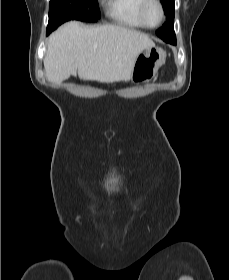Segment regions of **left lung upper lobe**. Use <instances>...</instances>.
<instances>
[{"label":"left lung upper lobe","instance_id":"left-lung-upper-lobe-1","mask_svg":"<svg viewBox=\"0 0 229 280\" xmlns=\"http://www.w3.org/2000/svg\"><path fill=\"white\" fill-rule=\"evenodd\" d=\"M164 13L167 16L164 25L156 31V34L163 39L165 42H171L175 40L174 33V0H160Z\"/></svg>","mask_w":229,"mask_h":280}]
</instances>
